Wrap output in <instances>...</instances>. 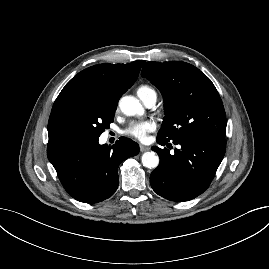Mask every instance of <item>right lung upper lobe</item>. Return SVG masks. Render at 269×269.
<instances>
[{"instance_id": "cb5924a9", "label": "right lung upper lobe", "mask_w": 269, "mask_h": 269, "mask_svg": "<svg viewBox=\"0 0 269 269\" xmlns=\"http://www.w3.org/2000/svg\"><path fill=\"white\" fill-rule=\"evenodd\" d=\"M145 61L130 64H99L84 69L62 89L48 121V147L73 141L61 120V109L71 96H91L117 105V101L137 80Z\"/></svg>"}]
</instances>
